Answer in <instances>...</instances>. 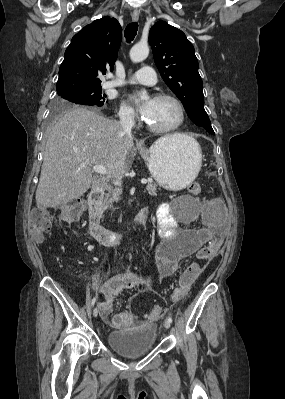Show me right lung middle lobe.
Listing matches in <instances>:
<instances>
[{"label":"right lung middle lobe","instance_id":"1","mask_svg":"<svg viewBox=\"0 0 285 399\" xmlns=\"http://www.w3.org/2000/svg\"><path fill=\"white\" fill-rule=\"evenodd\" d=\"M54 104V115L58 112L78 105L97 106L106 105V95L102 94L101 87L90 89H67L57 92Z\"/></svg>","mask_w":285,"mask_h":399}]
</instances>
